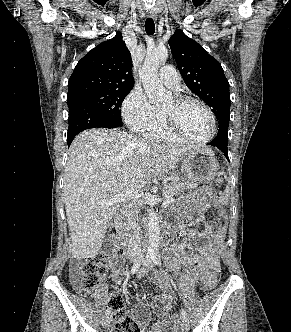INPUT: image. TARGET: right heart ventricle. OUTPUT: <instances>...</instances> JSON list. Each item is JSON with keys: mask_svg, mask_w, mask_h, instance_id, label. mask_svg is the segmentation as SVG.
I'll return each mask as SVG.
<instances>
[{"mask_svg": "<svg viewBox=\"0 0 291 332\" xmlns=\"http://www.w3.org/2000/svg\"><path fill=\"white\" fill-rule=\"evenodd\" d=\"M158 116H159V123L156 127L153 129L147 131L144 133V135L154 141L158 142H163V143H181L183 142L182 140L178 139L174 135H172L164 122L163 116L161 111H158Z\"/></svg>", "mask_w": 291, "mask_h": 332, "instance_id": "obj_1", "label": "right heart ventricle"}]
</instances>
